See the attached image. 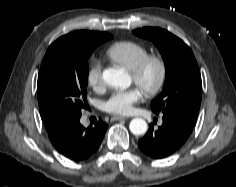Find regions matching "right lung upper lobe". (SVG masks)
Instances as JSON below:
<instances>
[{
    "instance_id": "obj_1",
    "label": "right lung upper lobe",
    "mask_w": 236,
    "mask_h": 187,
    "mask_svg": "<svg viewBox=\"0 0 236 187\" xmlns=\"http://www.w3.org/2000/svg\"><path fill=\"white\" fill-rule=\"evenodd\" d=\"M105 36H112L111 34L104 33V32H94V31H75L65 36L60 37V39L71 41L74 43H81L85 42L90 39H94L97 37H105ZM46 128L48 130L49 138L53 145H57L60 141L61 137L68 129V125H56L48 122H44Z\"/></svg>"
}]
</instances>
